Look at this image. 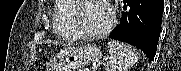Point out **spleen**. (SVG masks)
<instances>
[{"instance_id": "obj_1", "label": "spleen", "mask_w": 181, "mask_h": 71, "mask_svg": "<svg viewBox=\"0 0 181 71\" xmlns=\"http://www.w3.org/2000/svg\"><path fill=\"white\" fill-rule=\"evenodd\" d=\"M109 57L105 71H129L137 61L135 49L119 41L108 42Z\"/></svg>"}]
</instances>
